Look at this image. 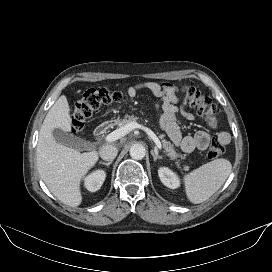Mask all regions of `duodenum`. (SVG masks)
Masks as SVG:
<instances>
[{
  "mask_svg": "<svg viewBox=\"0 0 272 272\" xmlns=\"http://www.w3.org/2000/svg\"><path fill=\"white\" fill-rule=\"evenodd\" d=\"M114 123L112 121H106L99 126L94 131V135L96 138H102L106 135V133L113 127Z\"/></svg>",
  "mask_w": 272,
  "mask_h": 272,
  "instance_id": "duodenum-1",
  "label": "duodenum"
}]
</instances>
